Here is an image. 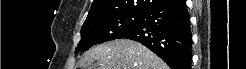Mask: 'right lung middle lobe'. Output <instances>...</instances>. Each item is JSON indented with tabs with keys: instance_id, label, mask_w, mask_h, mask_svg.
Listing matches in <instances>:
<instances>
[{
	"instance_id": "1",
	"label": "right lung middle lobe",
	"mask_w": 246,
	"mask_h": 69,
	"mask_svg": "<svg viewBox=\"0 0 246 69\" xmlns=\"http://www.w3.org/2000/svg\"><path fill=\"white\" fill-rule=\"evenodd\" d=\"M141 19L142 14H121L84 22L81 40L75 53L86 51L93 45L120 38L126 31L137 26Z\"/></svg>"
}]
</instances>
